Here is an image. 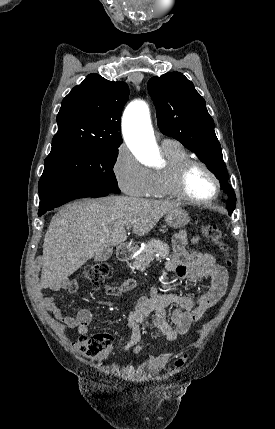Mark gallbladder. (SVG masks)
<instances>
[{"mask_svg":"<svg viewBox=\"0 0 275 429\" xmlns=\"http://www.w3.org/2000/svg\"><path fill=\"white\" fill-rule=\"evenodd\" d=\"M112 253L113 250L111 247L104 248L101 252L94 256V260L99 262L106 261L111 257Z\"/></svg>","mask_w":275,"mask_h":429,"instance_id":"1","label":"gallbladder"}]
</instances>
